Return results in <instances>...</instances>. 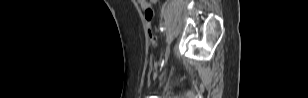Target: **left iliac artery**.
I'll use <instances>...</instances> for the list:
<instances>
[{
  "instance_id": "1",
  "label": "left iliac artery",
  "mask_w": 308,
  "mask_h": 98,
  "mask_svg": "<svg viewBox=\"0 0 308 98\" xmlns=\"http://www.w3.org/2000/svg\"><path fill=\"white\" fill-rule=\"evenodd\" d=\"M159 29H160L162 32H164V31L166 30L165 26H163V25H160V26H159Z\"/></svg>"
}]
</instances>
